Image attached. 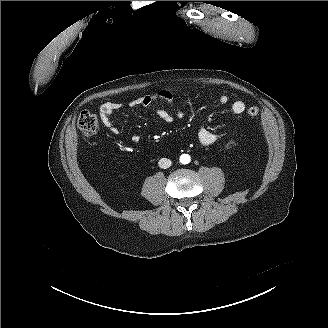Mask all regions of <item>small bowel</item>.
Masks as SVG:
<instances>
[{"mask_svg": "<svg viewBox=\"0 0 328 328\" xmlns=\"http://www.w3.org/2000/svg\"><path fill=\"white\" fill-rule=\"evenodd\" d=\"M173 96L168 91H159L152 94L143 95L140 97H137L133 99L129 106L131 108L135 107H148L155 103H162L163 106L158 108L156 110L157 115L161 120L164 122H172L176 118L181 117V112L178 110H172L171 104H172ZM216 101L221 104L225 105L228 104L229 98L226 94H218L216 96ZM122 104L119 102H113L108 101L103 103L99 108V115L102 123L109 129V131L116 135L118 134V128L113 124L112 115L114 112L121 109ZM246 105L241 100H236L232 102L231 104V110L235 114H241L245 111ZM197 138L201 145L203 146H210L214 144L217 140V135L213 132L207 129L203 124H200L197 128ZM132 141L134 143H137L139 141L138 136H133Z\"/></svg>", "mask_w": 328, "mask_h": 328, "instance_id": "c3829d8e", "label": "small bowel"}]
</instances>
